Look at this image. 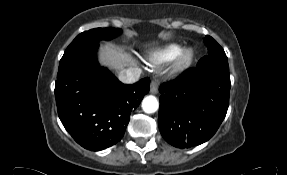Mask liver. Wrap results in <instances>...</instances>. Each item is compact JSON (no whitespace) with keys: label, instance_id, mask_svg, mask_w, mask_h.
<instances>
[{"label":"liver","instance_id":"1","mask_svg":"<svg viewBox=\"0 0 287 175\" xmlns=\"http://www.w3.org/2000/svg\"><path fill=\"white\" fill-rule=\"evenodd\" d=\"M99 60L102 65L110 69L123 70L125 67L134 66L133 58L122 50L110 44H105L100 49Z\"/></svg>","mask_w":287,"mask_h":175}]
</instances>
